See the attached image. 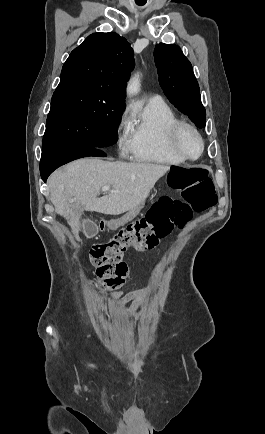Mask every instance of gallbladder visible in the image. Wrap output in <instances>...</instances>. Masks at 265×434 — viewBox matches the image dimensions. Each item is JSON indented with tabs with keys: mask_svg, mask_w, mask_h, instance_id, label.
<instances>
[{
	"mask_svg": "<svg viewBox=\"0 0 265 434\" xmlns=\"http://www.w3.org/2000/svg\"><path fill=\"white\" fill-rule=\"evenodd\" d=\"M86 225H81V230H83L84 231V236L87 238V239H90V238H92L93 236H96V234H98V228H97V226H96V224H95V221H94V219H92V218H89V219H87L86 220Z\"/></svg>",
	"mask_w": 265,
	"mask_h": 434,
	"instance_id": "obj_1",
	"label": "gallbladder"
}]
</instances>
